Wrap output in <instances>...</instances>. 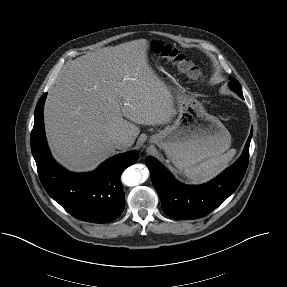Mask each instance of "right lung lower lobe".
<instances>
[{"mask_svg":"<svg viewBox=\"0 0 287 287\" xmlns=\"http://www.w3.org/2000/svg\"><path fill=\"white\" fill-rule=\"evenodd\" d=\"M45 98L46 93L37 103L31 132V150L43 187L75 218L93 223L115 220L125 207L120 175L136 162L138 152L114 156L91 173H70L53 160L48 149L43 124Z\"/></svg>","mask_w":287,"mask_h":287,"instance_id":"98d812e1","label":"right lung lower lobe"}]
</instances>
